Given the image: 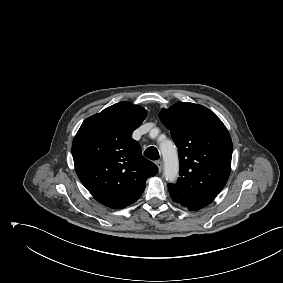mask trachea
Listing matches in <instances>:
<instances>
[{"label":"trachea","instance_id":"obj_1","mask_svg":"<svg viewBox=\"0 0 283 283\" xmlns=\"http://www.w3.org/2000/svg\"><path fill=\"white\" fill-rule=\"evenodd\" d=\"M144 155L150 160H158L159 152L155 147H149L144 151Z\"/></svg>","mask_w":283,"mask_h":283}]
</instances>
